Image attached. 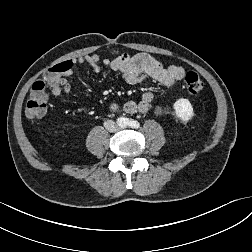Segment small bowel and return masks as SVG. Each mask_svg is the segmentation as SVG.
<instances>
[{"instance_id":"small-bowel-1","label":"small bowel","mask_w":252,"mask_h":252,"mask_svg":"<svg viewBox=\"0 0 252 252\" xmlns=\"http://www.w3.org/2000/svg\"><path fill=\"white\" fill-rule=\"evenodd\" d=\"M64 63L68 68L63 73V76H70L72 74L74 63H88L96 73H99L101 70L99 65L100 58L96 54L82 55L77 59L68 60ZM103 65L111 70L120 72L128 84H138L150 78L167 87H173L178 81L183 79L185 74L182 67L176 65L165 67L158 60L145 53L121 54L112 60H103ZM70 91L71 84L64 77H60L56 84L50 86V93L53 96H59L63 92L67 94ZM153 101V93L146 92L140 100L128 101L123 104L121 111L125 113H145L151 108Z\"/></svg>"}]
</instances>
